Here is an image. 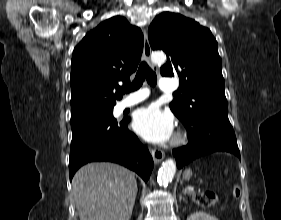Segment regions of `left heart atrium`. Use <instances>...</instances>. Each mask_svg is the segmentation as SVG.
<instances>
[{
	"label": "left heart atrium",
	"mask_w": 281,
	"mask_h": 220,
	"mask_svg": "<svg viewBox=\"0 0 281 220\" xmlns=\"http://www.w3.org/2000/svg\"><path fill=\"white\" fill-rule=\"evenodd\" d=\"M135 132L152 143H165L173 135L172 115L152 104L136 111L133 119Z\"/></svg>",
	"instance_id": "1"
}]
</instances>
